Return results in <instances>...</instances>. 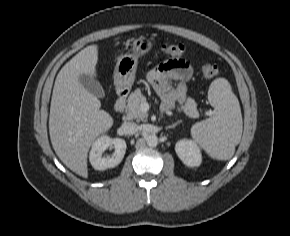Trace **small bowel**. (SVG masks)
Instances as JSON below:
<instances>
[{"label":"small bowel","instance_id":"small-bowel-1","mask_svg":"<svg viewBox=\"0 0 290 236\" xmlns=\"http://www.w3.org/2000/svg\"><path fill=\"white\" fill-rule=\"evenodd\" d=\"M193 75L192 68L183 60H167L153 69L148 80L159 94L162 110L168 111L176 104H183L187 97V85ZM176 82L173 86L172 82Z\"/></svg>","mask_w":290,"mask_h":236}]
</instances>
